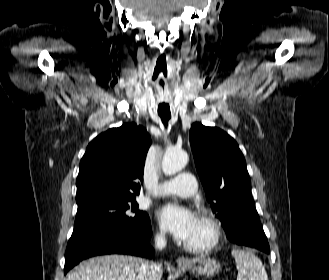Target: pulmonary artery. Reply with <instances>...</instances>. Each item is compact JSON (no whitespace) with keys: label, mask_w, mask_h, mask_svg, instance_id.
Returning a JSON list of instances; mask_svg holds the SVG:
<instances>
[{"label":"pulmonary artery","mask_w":329,"mask_h":280,"mask_svg":"<svg viewBox=\"0 0 329 280\" xmlns=\"http://www.w3.org/2000/svg\"><path fill=\"white\" fill-rule=\"evenodd\" d=\"M196 179L190 173H181L170 180L160 183L158 193L161 196L176 195L190 197L196 192Z\"/></svg>","instance_id":"1"}]
</instances>
